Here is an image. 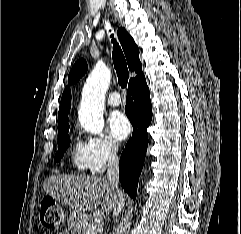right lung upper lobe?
Here are the masks:
<instances>
[{
    "instance_id": "right-lung-upper-lobe-1",
    "label": "right lung upper lobe",
    "mask_w": 241,
    "mask_h": 234,
    "mask_svg": "<svg viewBox=\"0 0 241 234\" xmlns=\"http://www.w3.org/2000/svg\"><path fill=\"white\" fill-rule=\"evenodd\" d=\"M118 38L125 53L129 69L137 74L136 77L142 75V65L139 60V49L135 44L133 38L127 33L124 28H119ZM87 68L88 67L85 60H78L73 66L68 76V82L70 84H75L84 75V73L87 71ZM70 103L71 91L69 87H66L61 98L58 112V131L69 127V124L67 122L68 113L70 111Z\"/></svg>"
}]
</instances>
